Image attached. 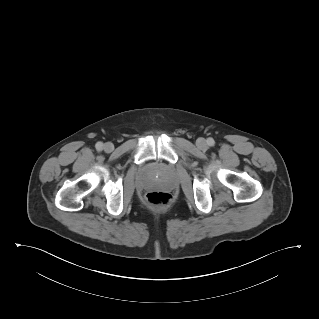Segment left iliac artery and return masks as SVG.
<instances>
[{
    "mask_svg": "<svg viewBox=\"0 0 319 319\" xmlns=\"http://www.w3.org/2000/svg\"><path fill=\"white\" fill-rule=\"evenodd\" d=\"M207 143H208L209 146H214L215 141H214L213 138H208V139H207Z\"/></svg>",
    "mask_w": 319,
    "mask_h": 319,
    "instance_id": "44dca946",
    "label": "left iliac artery"
}]
</instances>
